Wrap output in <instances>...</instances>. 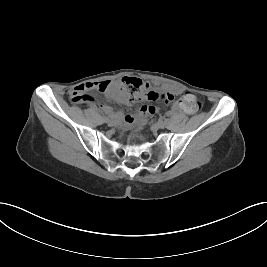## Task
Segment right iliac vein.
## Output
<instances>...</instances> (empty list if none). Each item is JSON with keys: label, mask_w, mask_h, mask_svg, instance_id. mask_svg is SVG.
Masks as SVG:
<instances>
[{"label": "right iliac vein", "mask_w": 267, "mask_h": 267, "mask_svg": "<svg viewBox=\"0 0 267 267\" xmlns=\"http://www.w3.org/2000/svg\"><path fill=\"white\" fill-rule=\"evenodd\" d=\"M104 122L112 124L113 123V120H111L109 118H104Z\"/></svg>", "instance_id": "obj_1"}]
</instances>
